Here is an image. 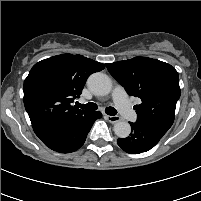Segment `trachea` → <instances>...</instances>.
Wrapping results in <instances>:
<instances>
[{
	"label": "trachea",
	"instance_id": "1",
	"mask_svg": "<svg viewBox=\"0 0 201 201\" xmlns=\"http://www.w3.org/2000/svg\"><path fill=\"white\" fill-rule=\"evenodd\" d=\"M77 106H78V108L86 109V110H90V111H94L97 109V105L93 102H89L87 104L78 103ZM105 112H106V114L111 115V116H114L117 113V111L114 107H107L105 109Z\"/></svg>",
	"mask_w": 201,
	"mask_h": 201
}]
</instances>
